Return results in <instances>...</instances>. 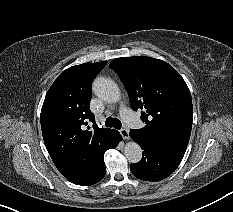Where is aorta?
Returning <instances> with one entry per match:
<instances>
[{
  "mask_svg": "<svg viewBox=\"0 0 233 212\" xmlns=\"http://www.w3.org/2000/svg\"><path fill=\"white\" fill-rule=\"evenodd\" d=\"M93 92L108 103H116L121 99L118 85L111 79L100 77L93 82ZM124 155L130 163L142 159V149L136 142H128L124 147Z\"/></svg>",
  "mask_w": 233,
  "mask_h": 212,
  "instance_id": "1",
  "label": "aorta"
}]
</instances>
